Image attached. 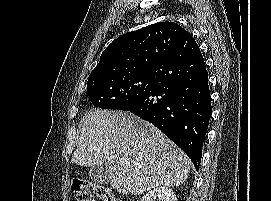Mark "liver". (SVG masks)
<instances>
[{"label":"liver","mask_w":271,"mask_h":201,"mask_svg":"<svg viewBox=\"0 0 271 201\" xmlns=\"http://www.w3.org/2000/svg\"><path fill=\"white\" fill-rule=\"evenodd\" d=\"M71 161L90 168L107 161L112 188L133 195L183 184L190 170L186 154L154 125L129 112L102 109L81 120Z\"/></svg>","instance_id":"obj_1"}]
</instances>
